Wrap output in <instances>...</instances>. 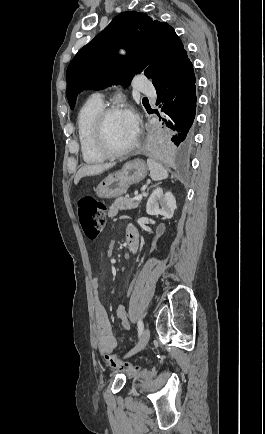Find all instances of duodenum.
Listing matches in <instances>:
<instances>
[{
	"instance_id": "1",
	"label": "duodenum",
	"mask_w": 265,
	"mask_h": 434,
	"mask_svg": "<svg viewBox=\"0 0 265 434\" xmlns=\"http://www.w3.org/2000/svg\"><path fill=\"white\" fill-rule=\"evenodd\" d=\"M139 245L137 244L136 240H132L129 243V250L132 254H135L138 251Z\"/></svg>"
}]
</instances>
